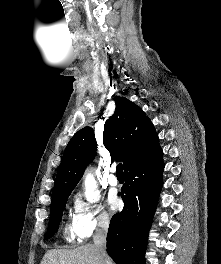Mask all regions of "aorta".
<instances>
[{"instance_id":"aorta-1","label":"aorta","mask_w":221,"mask_h":264,"mask_svg":"<svg viewBox=\"0 0 221 264\" xmlns=\"http://www.w3.org/2000/svg\"><path fill=\"white\" fill-rule=\"evenodd\" d=\"M85 189H86V197L88 200L93 199L94 195H95V191L97 188V184H96V180L94 178V176L91 173H87L85 176Z\"/></svg>"}]
</instances>
